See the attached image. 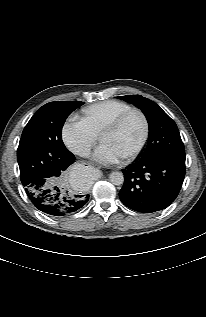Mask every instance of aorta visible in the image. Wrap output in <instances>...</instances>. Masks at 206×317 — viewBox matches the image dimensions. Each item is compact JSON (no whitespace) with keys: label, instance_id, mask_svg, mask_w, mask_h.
<instances>
[{"label":"aorta","instance_id":"aorta-1","mask_svg":"<svg viewBox=\"0 0 206 317\" xmlns=\"http://www.w3.org/2000/svg\"><path fill=\"white\" fill-rule=\"evenodd\" d=\"M109 179L112 184L119 186L124 182V175L122 172H112L109 175Z\"/></svg>","mask_w":206,"mask_h":317}]
</instances>
